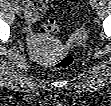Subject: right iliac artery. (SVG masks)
Masks as SVG:
<instances>
[{
    "label": "right iliac artery",
    "instance_id": "obj_1",
    "mask_svg": "<svg viewBox=\"0 0 111 106\" xmlns=\"http://www.w3.org/2000/svg\"><path fill=\"white\" fill-rule=\"evenodd\" d=\"M13 5H16V2L14 0L11 1Z\"/></svg>",
    "mask_w": 111,
    "mask_h": 106
}]
</instances>
